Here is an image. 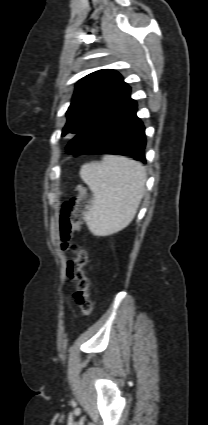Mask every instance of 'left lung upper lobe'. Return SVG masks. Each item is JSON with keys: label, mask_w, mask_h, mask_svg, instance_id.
Here are the masks:
<instances>
[{"label": "left lung upper lobe", "mask_w": 208, "mask_h": 425, "mask_svg": "<svg viewBox=\"0 0 208 425\" xmlns=\"http://www.w3.org/2000/svg\"><path fill=\"white\" fill-rule=\"evenodd\" d=\"M127 87L122 76L111 69L99 70L80 79L76 84L71 105L66 112L68 120L62 136L77 135ZM66 149L71 155H80L81 152V147L74 138Z\"/></svg>", "instance_id": "left-lung-upper-lobe-1"}]
</instances>
